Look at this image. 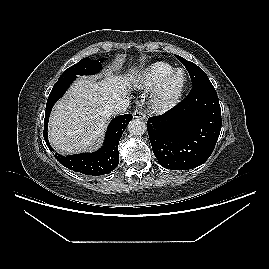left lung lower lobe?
Returning a JSON list of instances; mask_svg holds the SVG:
<instances>
[{
	"label": "left lung lower lobe",
	"mask_w": 269,
	"mask_h": 269,
	"mask_svg": "<svg viewBox=\"0 0 269 269\" xmlns=\"http://www.w3.org/2000/svg\"><path fill=\"white\" fill-rule=\"evenodd\" d=\"M222 125L217 93L204 80L166 113L150 117L149 139L159 164L171 170L202 165L212 154Z\"/></svg>",
	"instance_id": "0a47b994"
}]
</instances>
